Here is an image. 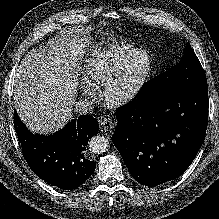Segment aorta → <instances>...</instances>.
<instances>
[{
	"label": "aorta",
	"instance_id": "obj_1",
	"mask_svg": "<svg viewBox=\"0 0 219 219\" xmlns=\"http://www.w3.org/2000/svg\"><path fill=\"white\" fill-rule=\"evenodd\" d=\"M89 149L95 154H101L108 150L109 140L104 136H94L89 140Z\"/></svg>",
	"mask_w": 219,
	"mask_h": 219
}]
</instances>
